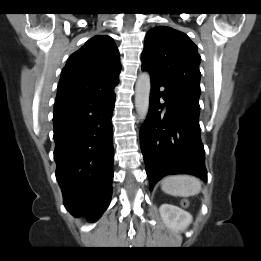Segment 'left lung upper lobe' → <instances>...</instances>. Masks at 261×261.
Returning a JSON list of instances; mask_svg holds the SVG:
<instances>
[{
    "mask_svg": "<svg viewBox=\"0 0 261 261\" xmlns=\"http://www.w3.org/2000/svg\"><path fill=\"white\" fill-rule=\"evenodd\" d=\"M141 60L150 75L200 95L201 57L185 33L166 26L150 29Z\"/></svg>",
    "mask_w": 261,
    "mask_h": 261,
    "instance_id": "left-lung-upper-lobe-1",
    "label": "left lung upper lobe"
}]
</instances>
